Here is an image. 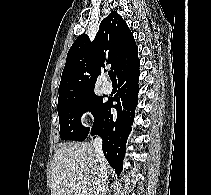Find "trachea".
I'll list each match as a JSON object with an SVG mask.
<instances>
[{
    "instance_id": "trachea-1",
    "label": "trachea",
    "mask_w": 211,
    "mask_h": 195,
    "mask_svg": "<svg viewBox=\"0 0 211 195\" xmlns=\"http://www.w3.org/2000/svg\"><path fill=\"white\" fill-rule=\"evenodd\" d=\"M108 75H109V77H110V79H111L112 81L116 80L115 74H114V72H113L112 70H110V71L108 72Z\"/></svg>"
}]
</instances>
